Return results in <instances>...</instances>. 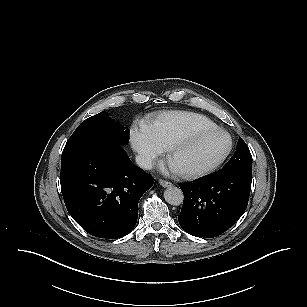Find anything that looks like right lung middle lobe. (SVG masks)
Returning <instances> with one entry per match:
<instances>
[{
    "label": "right lung middle lobe",
    "instance_id": "right-lung-middle-lobe-1",
    "mask_svg": "<svg viewBox=\"0 0 307 307\" xmlns=\"http://www.w3.org/2000/svg\"><path fill=\"white\" fill-rule=\"evenodd\" d=\"M129 131L115 123L107 112H101L83 121L68 139L62 158L100 143L126 144Z\"/></svg>",
    "mask_w": 307,
    "mask_h": 307
}]
</instances>
